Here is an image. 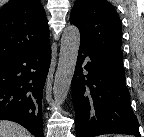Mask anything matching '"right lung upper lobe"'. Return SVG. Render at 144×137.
<instances>
[{"label": "right lung upper lobe", "mask_w": 144, "mask_h": 137, "mask_svg": "<svg viewBox=\"0 0 144 137\" xmlns=\"http://www.w3.org/2000/svg\"><path fill=\"white\" fill-rule=\"evenodd\" d=\"M49 39L39 0H10L0 10V65Z\"/></svg>", "instance_id": "right-lung-upper-lobe-1"}]
</instances>
